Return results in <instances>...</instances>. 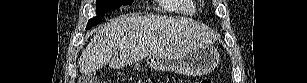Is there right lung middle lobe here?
Here are the masks:
<instances>
[{"label": "right lung middle lobe", "mask_w": 307, "mask_h": 83, "mask_svg": "<svg viewBox=\"0 0 307 83\" xmlns=\"http://www.w3.org/2000/svg\"><path fill=\"white\" fill-rule=\"evenodd\" d=\"M133 0H97L96 1V12L100 16L90 19L88 21L87 28H91L93 25L99 23L102 19V15L111 9H118L123 5H131Z\"/></svg>", "instance_id": "dd1d6c3e"}]
</instances>
